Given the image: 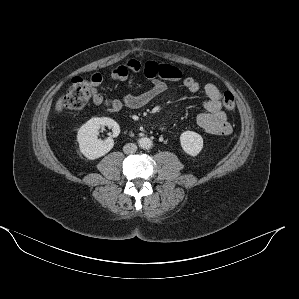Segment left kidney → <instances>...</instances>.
Segmentation results:
<instances>
[{
    "instance_id": "1",
    "label": "left kidney",
    "mask_w": 299,
    "mask_h": 299,
    "mask_svg": "<svg viewBox=\"0 0 299 299\" xmlns=\"http://www.w3.org/2000/svg\"><path fill=\"white\" fill-rule=\"evenodd\" d=\"M182 149L191 156H197L203 149V138L196 132L185 131L180 135Z\"/></svg>"
}]
</instances>
